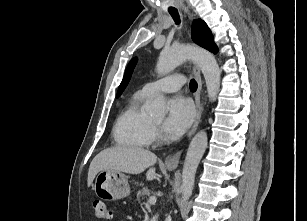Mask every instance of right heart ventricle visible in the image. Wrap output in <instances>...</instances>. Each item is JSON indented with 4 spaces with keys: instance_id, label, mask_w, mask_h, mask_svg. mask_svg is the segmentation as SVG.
Returning a JSON list of instances; mask_svg holds the SVG:
<instances>
[{
    "instance_id": "obj_1",
    "label": "right heart ventricle",
    "mask_w": 307,
    "mask_h": 221,
    "mask_svg": "<svg viewBox=\"0 0 307 221\" xmlns=\"http://www.w3.org/2000/svg\"><path fill=\"white\" fill-rule=\"evenodd\" d=\"M149 97L139 91L130 98L113 128L116 145L129 148L150 146L154 138V125L153 119L144 109V103Z\"/></svg>"
}]
</instances>
